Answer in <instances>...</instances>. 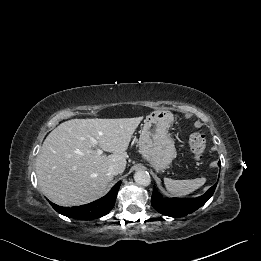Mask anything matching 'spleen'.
<instances>
[{"label":"spleen","instance_id":"spleen-1","mask_svg":"<svg viewBox=\"0 0 261 261\" xmlns=\"http://www.w3.org/2000/svg\"><path fill=\"white\" fill-rule=\"evenodd\" d=\"M206 182V178H196L191 180H173L164 178V184L168 192L174 196H186L202 187Z\"/></svg>","mask_w":261,"mask_h":261}]
</instances>
